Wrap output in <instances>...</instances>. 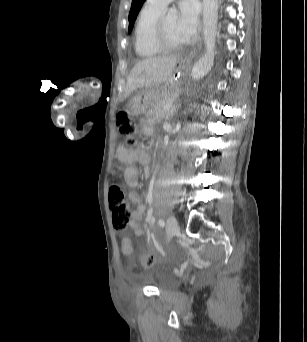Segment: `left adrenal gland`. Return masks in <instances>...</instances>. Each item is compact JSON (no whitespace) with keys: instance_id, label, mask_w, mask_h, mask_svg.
Wrapping results in <instances>:
<instances>
[{"instance_id":"a2214340","label":"left adrenal gland","mask_w":307,"mask_h":342,"mask_svg":"<svg viewBox=\"0 0 307 342\" xmlns=\"http://www.w3.org/2000/svg\"><path fill=\"white\" fill-rule=\"evenodd\" d=\"M178 102H181V100H178ZM178 102H175V104H173L171 110H170V116L169 118H173V116H176L177 114V108H179L180 104H178Z\"/></svg>"}]
</instances>
